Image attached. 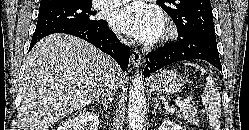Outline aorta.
<instances>
[{
    "instance_id": "1",
    "label": "aorta",
    "mask_w": 249,
    "mask_h": 130,
    "mask_svg": "<svg viewBox=\"0 0 249 130\" xmlns=\"http://www.w3.org/2000/svg\"><path fill=\"white\" fill-rule=\"evenodd\" d=\"M146 113L144 86L140 74L132 79L129 90L128 121L131 130H142Z\"/></svg>"
}]
</instances>
